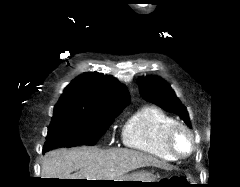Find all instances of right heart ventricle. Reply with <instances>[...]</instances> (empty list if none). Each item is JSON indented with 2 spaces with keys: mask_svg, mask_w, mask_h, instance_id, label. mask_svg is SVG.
<instances>
[{
  "mask_svg": "<svg viewBox=\"0 0 240 187\" xmlns=\"http://www.w3.org/2000/svg\"><path fill=\"white\" fill-rule=\"evenodd\" d=\"M176 120L155 106H145L128 119L122 130L126 147L161 160L176 161L167 146V132Z\"/></svg>",
  "mask_w": 240,
  "mask_h": 187,
  "instance_id": "obj_1",
  "label": "right heart ventricle"
}]
</instances>
